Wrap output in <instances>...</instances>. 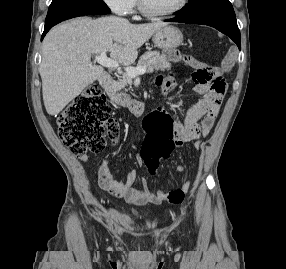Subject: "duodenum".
<instances>
[{"label": "duodenum", "mask_w": 286, "mask_h": 269, "mask_svg": "<svg viewBox=\"0 0 286 269\" xmlns=\"http://www.w3.org/2000/svg\"><path fill=\"white\" fill-rule=\"evenodd\" d=\"M101 86L104 88L113 104L128 108L134 115L142 113L144 106L142 103L129 100L116 93L115 82L108 72H103L101 75Z\"/></svg>", "instance_id": "1"}]
</instances>
